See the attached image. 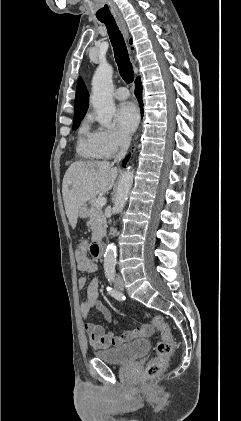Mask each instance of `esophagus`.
Instances as JSON below:
<instances>
[{
	"instance_id": "34e87169",
	"label": "esophagus",
	"mask_w": 241,
	"mask_h": 421,
	"mask_svg": "<svg viewBox=\"0 0 241 421\" xmlns=\"http://www.w3.org/2000/svg\"><path fill=\"white\" fill-rule=\"evenodd\" d=\"M116 22H117L122 34L124 35V37L128 38V35H129L128 30H127L126 24H125L124 20L122 19V17H120V16L116 17Z\"/></svg>"
}]
</instances>
